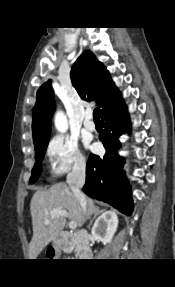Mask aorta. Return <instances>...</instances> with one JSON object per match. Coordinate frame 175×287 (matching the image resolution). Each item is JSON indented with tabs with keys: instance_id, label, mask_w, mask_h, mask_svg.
<instances>
[{
	"instance_id": "1",
	"label": "aorta",
	"mask_w": 175,
	"mask_h": 287,
	"mask_svg": "<svg viewBox=\"0 0 175 287\" xmlns=\"http://www.w3.org/2000/svg\"><path fill=\"white\" fill-rule=\"evenodd\" d=\"M55 127L60 132H65L68 129L67 118L61 111H58L55 115Z\"/></svg>"
}]
</instances>
